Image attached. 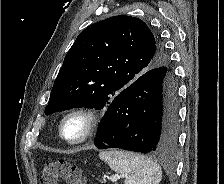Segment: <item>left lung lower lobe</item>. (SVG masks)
<instances>
[{"instance_id": "obj_1", "label": "left lung lower lobe", "mask_w": 224, "mask_h": 184, "mask_svg": "<svg viewBox=\"0 0 224 184\" xmlns=\"http://www.w3.org/2000/svg\"><path fill=\"white\" fill-rule=\"evenodd\" d=\"M170 67H155L109 104L94 144L141 153H166L178 136V96Z\"/></svg>"}]
</instances>
